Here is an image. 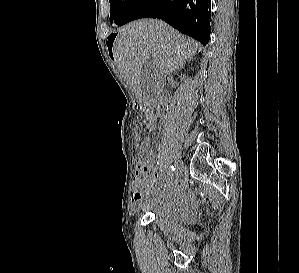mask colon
I'll return each mask as SVG.
<instances>
[{
    "label": "colon",
    "instance_id": "obj_1",
    "mask_svg": "<svg viewBox=\"0 0 299 273\" xmlns=\"http://www.w3.org/2000/svg\"><path fill=\"white\" fill-rule=\"evenodd\" d=\"M140 146L142 150L151 149V140L149 137H143L140 139Z\"/></svg>",
    "mask_w": 299,
    "mask_h": 273
}]
</instances>
